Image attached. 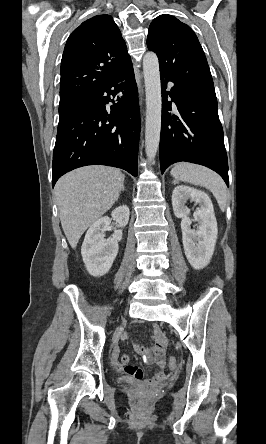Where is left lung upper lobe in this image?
Listing matches in <instances>:
<instances>
[{
    "label": "left lung upper lobe",
    "instance_id": "left-lung-upper-lobe-1",
    "mask_svg": "<svg viewBox=\"0 0 266 444\" xmlns=\"http://www.w3.org/2000/svg\"><path fill=\"white\" fill-rule=\"evenodd\" d=\"M147 46L159 58L160 72L175 81L213 84L204 51L194 31L171 15H160L150 24Z\"/></svg>",
    "mask_w": 266,
    "mask_h": 444
}]
</instances>
